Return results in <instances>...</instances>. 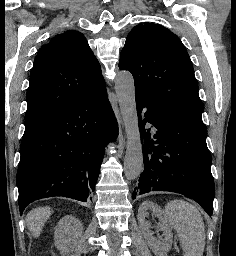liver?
<instances>
[{"instance_id":"liver-1","label":"liver","mask_w":236,"mask_h":256,"mask_svg":"<svg viewBox=\"0 0 236 256\" xmlns=\"http://www.w3.org/2000/svg\"><path fill=\"white\" fill-rule=\"evenodd\" d=\"M49 216H51V208H48V206L46 208H34L27 214L26 224L34 238H39Z\"/></svg>"}]
</instances>
